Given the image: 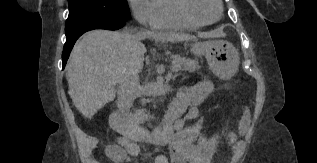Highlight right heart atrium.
I'll list each match as a JSON object with an SVG mask.
<instances>
[{
	"label": "right heart atrium",
	"instance_id": "1",
	"mask_svg": "<svg viewBox=\"0 0 317 163\" xmlns=\"http://www.w3.org/2000/svg\"><path fill=\"white\" fill-rule=\"evenodd\" d=\"M155 0H127L134 18L144 26H152L156 17Z\"/></svg>",
	"mask_w": 317,
	"mask_h": 163
}]
</instances>
